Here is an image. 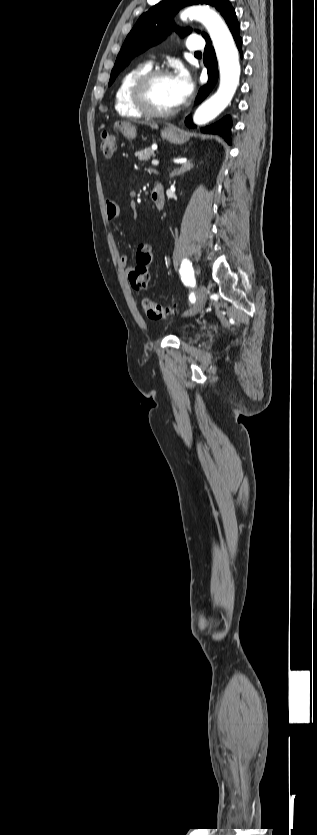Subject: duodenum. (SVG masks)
Instances as JSON below:
<instances>
[{
  "label": "duodenum",
  "instance_id": "410a0bca",
  "mask_svg": "<svg viewBox=\"0 0 317 835\" xmlns=\"http://www.w3.org/2000/svg\"><path fill=\"white\" fill-rule=\"evenodd\" d=\"M151 200L156 209L161 210L165 204L164 189L161 184H156L151 191Z\"/></svg>",
  "mask_w": 317,
  "mask_h": 835
}]
</instances>
